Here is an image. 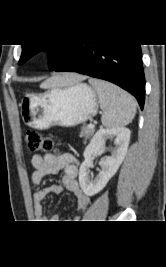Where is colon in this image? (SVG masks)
I'll use <instances>...</instances> for the list:
<instances>
[{
  "label": "colon",
  "instance_id": "1",
  "mask_svg": "<svg viewBox=\"0 0 166 267\" xmlns=\"http://www.w3.org/2000/svg\"><path fill=\"white\" fill-rule=\"evenodd\" d=\"M24 139L29 151H56L54 140L47 135H43L35 130H25Z\"/></svg>",
  "mask_w": 166,
  "mask_h": 267
}]
</instances>
